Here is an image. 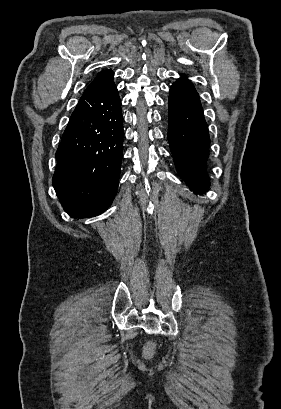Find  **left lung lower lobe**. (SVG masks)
<instances>
[{"instance_id": "left-lung-lower-lobe-1", "label": "left lung lower lobe", "mask_w": 281, "mask_h": 409, "mask_svg": "<svg viewBox=\"0 0 281 409\" xmlns=\"http://www.w3.org/2000/svg\"><path fill=\"white\" fill-rule=\"evenodd\" d=\"M168 113V141L176 169L192 190L204 193L209 187L210 137L199 95L183 76L170 88Z\"/></svg>"}]
</instances>
